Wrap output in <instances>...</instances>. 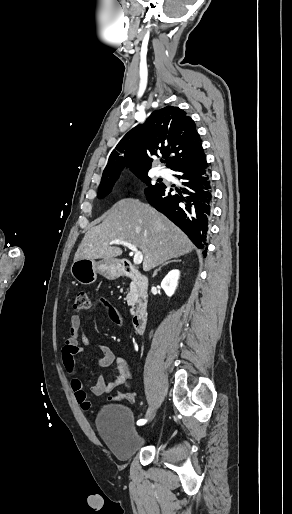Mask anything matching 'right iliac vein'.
Segmentation results:
<instances>
[{"instance_id":"obj_1","label":"right iliac vein","mask_w":292,"mask_h":514,"mask_svg":"<svg viewBox=\"0 0 292 514\" xmlns=\"http://www.w3.org/2000/svg\"><path fill=\"white\" fill-rule=\"evenodd\" d=\"M152 414H153V410L149 409L146 416L150 419L152 417Z\"/></svg>"}]
</instances>
